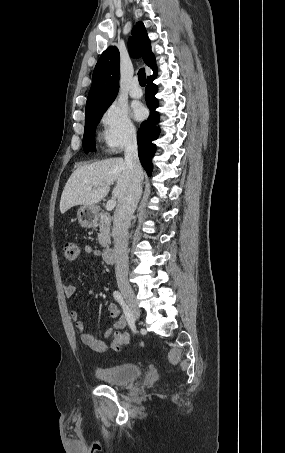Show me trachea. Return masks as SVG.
<instances>
[{"label": "trachea", "mask_w": 285, "mask_h": 453, "mask_svg": "<svg viewBox=\"0 0 285 453\" xmlns=\"http://www.w3.org/2000/svg\"><path fill=\"white\" fill-rule=\"evenodd\" d=\"M138 79H139V83L141 86H145L146 85V74H145V69L144 68H141L138 72Z\"/></svg>", "instance_id": "3493384b"}]
</instances>
